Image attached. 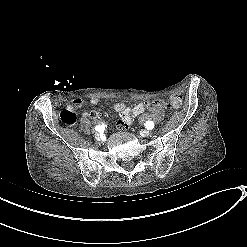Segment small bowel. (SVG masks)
<instances>
[{
  "label": "small bowel",
  "instance_id": "1",
  "mask_svg": "<svg viewBox=\"0 0 247 247\" xmlns=\"http://www.w3.org/2000/svg\"><path fill=\"white\" fill-rule=\"evenodd\" d=\"M171 105L174 108H178L181 103H182V97L179 94H174L170 98ZM86 100L84 98H77L74 100L73 104L69 105V110L72 111L75 108L82 107L85 104ZM100 102L98 97H92L90 99V103L92 105H98ZM113 110L119 115V120H118V127L122 130H126L131 122L132 119L135 117H140L142 122L151 120V119H159L161 117V111L160 109H155L151 113H146V105L145 104H137L133 107H127L124 103L122 102H117L113 105ZM83 118H92V119H97L98 114L96 112H91L87 113L84 112L82 114Z\"/></svg>",
  "mask_w": 247,
  "mask_h": 247
}]
</instances>
